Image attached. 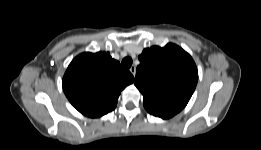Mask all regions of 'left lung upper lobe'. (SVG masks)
<instances>
[{
  "mask_svg": "<svg viewBox=\"0 0 261 150\" xmlns=\"http://www.w3.org/2000/svg\"><path fill=\"white\" fill-rule=\"evenodd\" d=\"M139 60L135 85L143 94L145 109L163 119L173 117L187 105L195 90V62L172 43L144 49Z\"/></svg>",
  "mask_w": 261,
  "mask_h": 150,
  "instance_id": "5c2ea615",
  "label": "left lung upper lobe"
}]
</instances>
